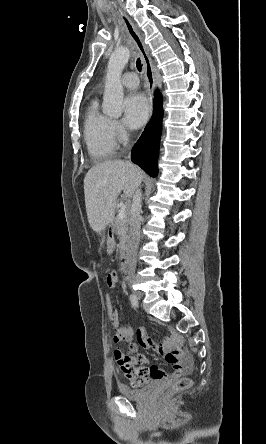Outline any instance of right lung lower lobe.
Returning <instances> with one entry per match:
<instances>
[{"instance_id": "98d812e1", "label": "right lung lower lobe", "mask_w": 266, "mask_h": 444, "mask_svg": "<svg viewBox=\"0 0 266 444\" xmlns=\"http://www.w3.org/2000/svg\"><path fill=\"white\" fill-rule=\"evenodd\" d=\"M162 116V99L160 93L156 91L152 119L146 126L145 131L142 133L132 152V161L152 177L158 174L157 158L162 129Z\"/></svg>"}]
</instances>
